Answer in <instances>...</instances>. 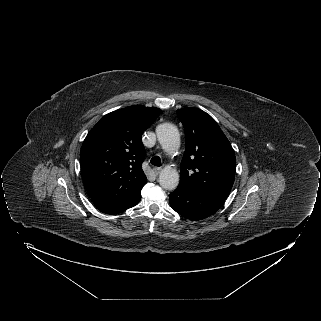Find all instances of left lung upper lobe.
Wrapping results in <instances>:
<instances>
[{"label": "left lung upper lobe", "mask_w": 321, "mask_h": 321, "mask_svg": "<svg viewBox=\"0 0 321 321\" xmlns=\"http://www.w3.org/2000/svg\"><path fill=\"white\" fill-rule=\"evenodd\" d=\"M185 129V152L177 189L226 199L236 169L234 150L216 121L198 108L177 110Z\"/></svg>", "instance_id": "5c2ea615"}]
</instances>
